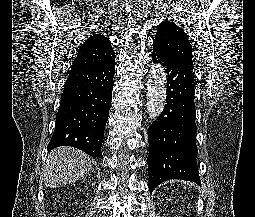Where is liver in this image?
<instances>
[{"instance_id": "6515ba94", "label": "liver", "mask_w": 255, "mask_h": 217, "mask_svg": "<svg viewBox=\"0 0 255 217\" xmlns=\"http://www.w3.org/2000/svg\"><path fill=\"white\" fill-rule=\"evenodd\" d=\"M91 158L71 147H60L47 157L43 181L46 187L54 188L75 182L91 170Z\"/></svg>"}]
</instances>
